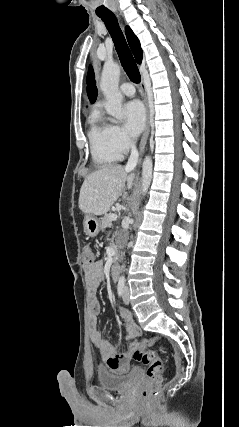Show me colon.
I'll return each instance as SVG.
<instances>
[{
    "mask_svg": "<svg viewBox=\"0 0 239 427\" xmlns=\"http://www.w3.org/2000/svg\"><path fill=\"white\" fill-rule=\"evenodd\" d=\"M83 263L88 266L96 261V252L91 244L82 248ZM134 358L147 367L149 382L142 391V398L150 400L155 397L161 387L164 375V364L155 350L146 349L136 351Z\"/></svg>",
    "mask_w": 239,
    "mask_h": 427,
    "instance_id": "obj_1",
    "label": "colon"
}]
</instances>
